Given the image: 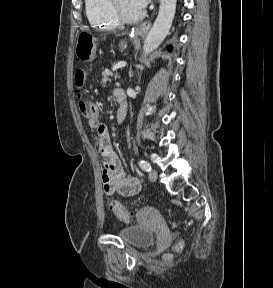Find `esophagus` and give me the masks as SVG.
<instances>
[{
	"instance_id": "1",
	"label": "esophagus",
	"mask_w": 273,
	"mask_h": 288,
	"mask_svg": "<svg viewBox=\"0 0 273 288\" xmlns=\"http://www.w3.org/2000/svg\"><path fill=\"white\" fill-rule=\"evenodd\" d=\"M151 20L144 22L140 27L136 28V32L139 35H144L147 33L149 28L151 27Z\"/></svg>"
}]
</instances>
